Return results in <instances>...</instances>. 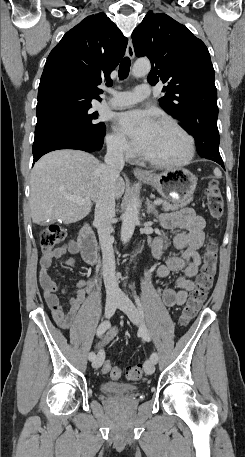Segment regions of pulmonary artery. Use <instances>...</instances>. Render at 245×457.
I'll use <instances>...</instances> for the list:
<instances>
[{"instance_id": "1", "label": "pulmonary artery", "mask_w": 245, "mask_h": 457, "mask_svg": "<svg viewBox=\"0 0 245 457\" xmlns=\"http://www.w3.org/2000/svg\"><path fill=\"white\" fill-rule=\"evenodd\" d=\"M143 86H136L135 91L131 92H113L114 97L104 104L110 108H122L131 106L135 103L147 100L150 93L149 82L145 81Z\"/></svg>"}]
</instances>
